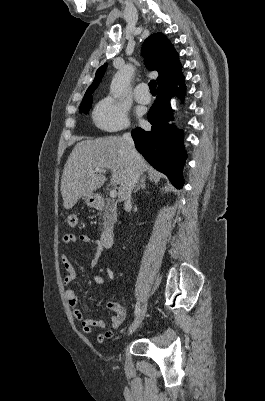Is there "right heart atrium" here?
I'll return each instance as SVG.
<instances>
[{"label": "right heart atrium", "instance_id": "obj_1", "mask_svg": "<svg viewBox=\"0 0 265 401\" xmlns=\"http://www.w3.org/2000/svg\"><path fill=\"white\" fill-rule=\"evenodd\" d=\"M93 118L100 128L108 132L124 131L130 125L127 107L112 95L104 97L96 104Z\"/></svg>", "mask_w": 265, "mask_h": 401}]
</instances>
